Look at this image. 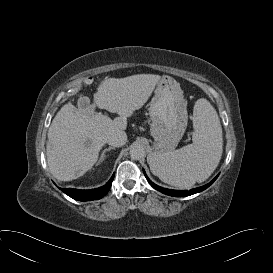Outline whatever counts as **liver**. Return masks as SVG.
Returning <instances> with one entry per match:
<instances>
[{
	"label": "liver",
	"instance_id": "6515ba94",
	"mask_svg": "<svg viewBox=\"0 0 273 273\" xmlns=\"http://www.w3.org/2000/svg\"><path fill=\"white\" fill-rule=\"evenodd\" d=\"M161 76L136 74L103 80L94 94V104L76 108L68 103L61 107L49 130L47 163L57 180L71 181L84 175L97 162L108 135L125 130L127 117L140 109L151 96ZM95 106L120 116L95 112Z\"/></svg>",
	"mask_w": 273,
	"mask_h": 273
}]
</instances>
